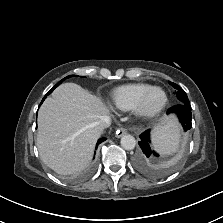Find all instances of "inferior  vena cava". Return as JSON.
<instances>
[{"instance_id": "1", "label": "inferior vena cava", "mask_w": 223, "mask_h": 223, "mask_svg": "<svg viewBox=\"0 0 223 223\" xmlns=\"http://www.w3.org/2000/svg\"><path fill=\"white\" fill-rule=\"evenodd\" d=\"M111 121L109 117H103L101 120L95 123L96 129L101 133L104 129L109 128Z\"/></svg>"}]
</instances>
